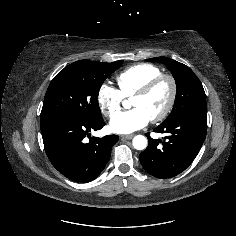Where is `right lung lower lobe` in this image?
Segmentation results:
<instances>
[{
	"label": "right lung lower lobe",
	"mask_w": 236,
	"mask_h": 236,
	"mask_svg": "<svg viewBox=\"0 0 236 236\" xmlns=\"http://www.w3.org/2000/svg\"><path fill=\"white\" fill-rule=\"evenodd\" d=\"M104 125L103 118L88 121L71 115H57L40 122L45 152L55 169L76 182L87 183L96 178L119 137H92L88 143L84 138Z\"/></svg>",
	"instance_id": "right-lung-lower-lobe-1"
}]
</instances>
